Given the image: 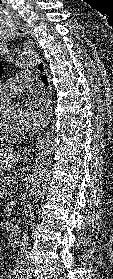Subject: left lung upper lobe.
Returning a JSON list of instances; mask_svg holds the SVG:
<instances>
[{"label": "left lung upper lobe", "mask_w": 113, "mask_h": 279, "mask_svg": "<svg viewBox=\"0 0 113 279\" xmlns=\"http://www.w3.org/2000/svg\"><path fill=\"white\" fill-rule=\"evenodd\" d=\"M2 72H3V66L0 63V76H1Z\"/></svg>", "instance_id": "obj_1"}]
</instances>
